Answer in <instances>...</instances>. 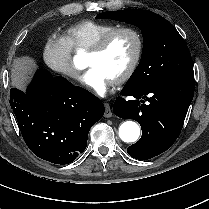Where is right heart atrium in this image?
Here are the masks:
<instances>
[{"mask_svg":"<svg viewBox=\"0 0 209 209\" xmlns=\"http://www.w3.org/2000/svg\"><path fill=\"white\" fill-rule=\"evenodd\" d=\"M43 60L55 73L64 77L79 80V70L72 59V49L62 35H50L43 47Z\"/></svg>","mask_w":209,"mask_h":209,"instance_id":"1","label":"right heart atrium"}]
</instances>
